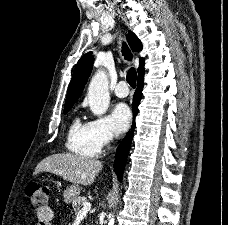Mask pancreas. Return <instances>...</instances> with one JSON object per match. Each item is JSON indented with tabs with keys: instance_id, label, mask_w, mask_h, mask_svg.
Segmentation results:
<instances>
[{
	"instance_id": "pancreas-1",
	"label": "pancreas",
	"mask_w": 228,
	"mask_h": 225,
	"mask_svg": "<svg viewBox=\"0 0 228 225\" xmlns=\"http://www.w3.org/2000/svg\"><path fill=\"white\" fill-rule=\"evenodd\" d=\"M84 203H87L86 197H77L75 201H72V207L75 213H78V211H80V207H83Z\"/></svg>"
}]
</instances>
